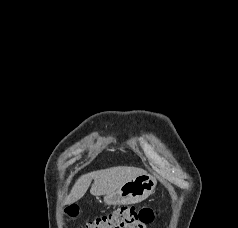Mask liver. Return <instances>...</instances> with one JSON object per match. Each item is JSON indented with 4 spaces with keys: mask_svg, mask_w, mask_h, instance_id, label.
I'll list each match as a JSON object with an SVG mask.
<instances>
[{
    "mask_svg": "<svg viewBox=\"0 0 238 228\" xmlns=\"http://www.w3.org/2000/svg\"><path fill=\"white\" fill-rule=\"evenodd\" d=\"M146 173L137 167L118 166L87 173L79 177L75 182L65 203L71 204L81 199L87 192L92 180L90 193L94 196L112 194L124 183Z\"/></svg>",
    "mask_w": 238,
    "mask_h": 228,
    "instance_id": "1",
    "label": "liver"
}]
</instances>
